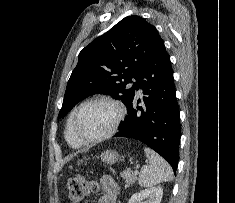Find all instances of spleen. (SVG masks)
Instances as JSON below:
<instances>
[{
	"label": "spleen",
	"mask_w": 235,
	"mask_h": 203,
	"mask_svg": "<svg viewBox=\"0 0 235 203\" xmlns=\"http://www.w3.org/2000/svg\"><path fill=\"white\" fill-rule=\"evenodd\" d=\"M144 152L149 159V164L144 165L140 170L139 185L141 187H153L161 182L172 181L171 166L150 148H145Z\"/></svg>",
	"instance_id": "spleen-1"
}]
</instances>
